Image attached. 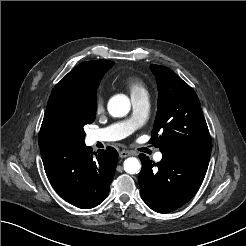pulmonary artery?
Returning a JSON list of instances; mask_svg holds the SVG:
<instances>
[{
  "label": "pulmonary artery",
  "instance_id": "1",
  "mask_svg": "<svg viewBox=\"0 0 246 246\" xmlns=\"http://www.w3.org/2000/svg\"><path fill=\"white\" fill-rule=\"evenodd\" d=\"M131 99L133 106L132 117L106 128L91 131L88 135L90 142L96 143L121 140L130 135L145 122L148 117L150 107L148 95L140 94L132 96ZM161 159L162 153L157 152L154 155V160L158 162L161 161Z\"/></svg>",
  "mask_w": 246,
  "mask_h": 246
}]
</instances>
